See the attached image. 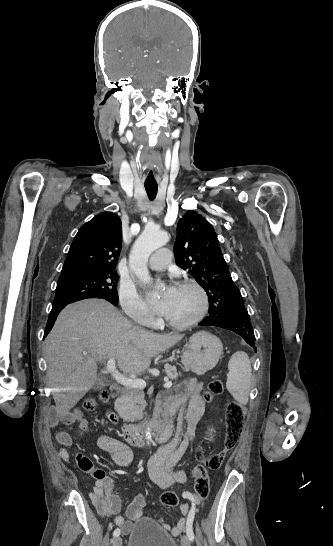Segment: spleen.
Returning a JSON list of instances; mask_svg holds the SVG:
<instances>
[{
    "label": "spleen",
    "instance_id": "3e777b00",
    "mask_svg": "<svg viewBox=\"0 0 333 546\" xmlns=\"http://www.w3.org/2000/svg\"><path fill=\"white\" fill-rule=\"evenodd\" d=\"M226 387L235 400L247 404L251 389V363L245 352H235L228 363Z\"/></svg>",
    "mask_w": 333,
    "mask_h": 546
}]
</instances>
